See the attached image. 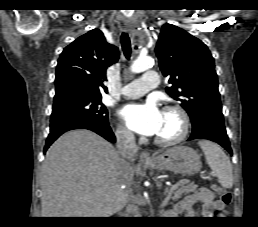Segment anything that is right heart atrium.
Returning <instances> with one entry per match:
<instances>
[{"label": "right heart atrium", "mask_w": 258, "mask_h": 227, "mask_svg": "<svg viewBox=\"0 0 258 227\" xmlns=\"http://www.w3.org/2000/svg\"><path fill=\"white\" fill-rule=\"evenodd\" d=\"M116 137L122 143H132L134 141L133 133L124 126H118Z\"/></svg>", "instance_id": "right-heart-atrium-1"}]
</instances>
